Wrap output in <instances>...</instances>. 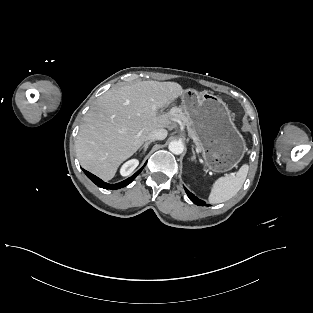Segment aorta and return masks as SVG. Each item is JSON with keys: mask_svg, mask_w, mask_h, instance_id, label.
I'll return each mask as SVG.
<instances>
[{"mask_svg": "<svg viewBox=\"0 0 313 313\" xmlns=\"http://www.w3.org/2000/svg\"><path fill=\"white\" fill-rule=\"evenodd\" d=\"M169 150L176 155H179L183 152L184 146L180 141H171L168 146Z\"/></svg>", "mask_w": 313, "mask_h": 313, "instance_id": "762f6f07", "label": "aorta"}]
</instances>
